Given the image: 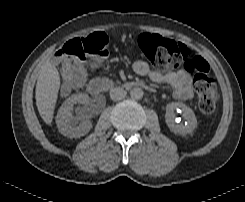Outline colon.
<instances>
[{
  "label": "colon",
  "mask_w": 245,
  "mask_h": 202,
  "mask_svg": "<svg viewBox=\"0 0 245 202\" xmlns=\"http://www.w3.org/2000/svg\"><path fill=\"white\" fill-rule=\"evenodd\" d=\"M110 37L96 33L87 39H71L58 48L55 56L62 62L61 79L71 85L81 82L79 67L74 59L87 61L97 67L109 57ZM136 44L142 56L158 71L167 72L182 67L195 74V91L199 110L210 115L218 98L216 83L209 73V65L194 57L182 42L165 40L149 33H141Z\"/></svg>",
  "instance_id": "colon-1"
}]
</instances>
